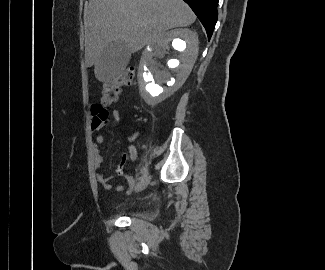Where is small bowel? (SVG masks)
I'll return each instance as SVG.
<instances>
[{
	"instance_id": "obj_1",
	"label": "small bowel",
	"mask_w": 325,
	"mask_h": 270,
	"mask_svg": "<svg viewBox=\"0 0 325 270\" xmlns=\"http://www.w3.org/2000/svg\"><path fill=\"white\" fill-rule=\"evenodd\" d=\"M110 104L109 103H95L91 110L93 114V120L91 124L92 131H99L104 124H106L110 120ZM112 116L115 121H118L120 118V112L118 110L112 111ZM136 137V133H134L130 138V142L133 141ZM104 143V137L102 135H95L94 136V145H93V160H94V167L98 171L96 174L97 181L102 185V187L106 190H109L112 188V184L110 181V178L103 175L99 170L101 168V165L104 161V157L102 153L100 152L98 146L102 145ZM136 155L135 148L133 145L129 146V153L127 155H124L121 158L120 163L117 165L116 172L119 175L124 174V169L126 163L134 159ZM127 184L130 188H133L136 183V179L133 176H126ZM117 191H122L124 187L122 185H118L116 187Z\"/></svg>"
}]
</instances>
